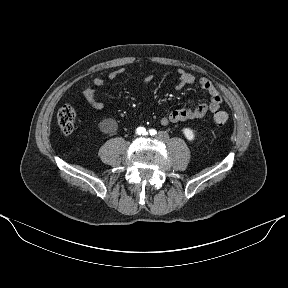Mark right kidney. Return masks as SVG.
<instances>
[{"label": "right kidney", "instance_id": "right-kidney-1", "mask_svg": "<svg viewBox=\"0 0 288 288\" xmlns=\"http://www.w3.org/2000/svg\"><path fill=\"white\" fill-rule=\"evenodd\" d=\"M100 128L103 132H109L111 128L110 120H104L100 123Z\"/></svg>", "mask_w": 288, "mask_h": 288}]
</instances>
